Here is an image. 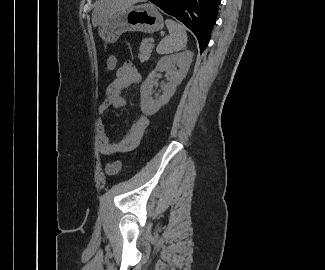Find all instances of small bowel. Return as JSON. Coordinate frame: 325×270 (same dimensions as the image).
<instances>
[{
    "label": "small bowel",
    "instance_id": "small-bowel-1",
    "mask_svg": "<svg viewBox=\"0 0 325 270\" xmlns=\"http://www.w3.org/2000/svg\"><path fill=\"white\" fill-rule=\"evenodd\" d=\"M140 81L141 75L131 62L124 63L115 71V79L108 86L106 98L98 108L100 116L98 121V148L99 152L104 156L111 157L135 149L148 126V119L145 116H141L130 125L121 140L116 143H111L102 119L103 114L109 108L124 107L127 100L122 96V91L137 85Z\"/></svg>",
    "mask_w": 325,
    "mask_h": 270
}]
</instances>
